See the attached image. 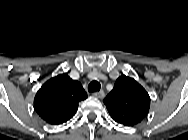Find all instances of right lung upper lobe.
<instances>
[{
  "instance_id": "1",
  "label": "right lung upper lobe",
  "mask_w": 188,
  "mask_h": 140,
  "mask_svg": "<svg viewBox=\"0 0 188 140\" xmlns=\"http://www.w3.org/2000/svg\"><path fill=\"white\" fill-rule=\"evenodd\" d=\"M87 98L82 85L67 73L51 78L37 92L34 108L51 125H59L72 118L78 103Z\"/></svg>"
}]
</instances>
